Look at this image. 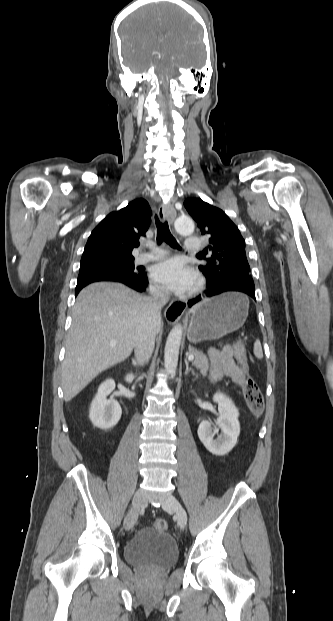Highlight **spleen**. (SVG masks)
Wrapping results in <instances>:
<instances>
[{
    "label": "spleen",
    "instance_id": "obj_1",
    "mask_svg": "<svg viewBox=\"0 0 333 621\" xmlns=\"http://www.w3.org/2000/svg\"><path fill=\"white\" fill-rule=\"evenodd\" d=\"M253 352H254V355L256 356V358H258V359H262L263 358V352H262V347H261L260 341L257 340L254 343Z\"/></svg>",
    "mask_w": 333,
    "mask_h": 621
}]
</instances>
